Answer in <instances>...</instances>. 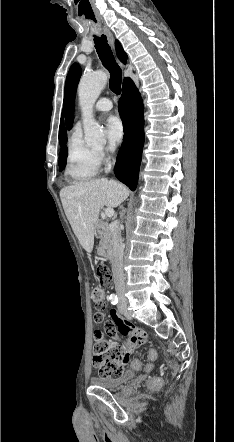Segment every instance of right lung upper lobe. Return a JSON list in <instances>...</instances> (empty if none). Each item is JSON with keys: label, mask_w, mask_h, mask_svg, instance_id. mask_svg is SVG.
<instances>
[{"label": "right lung upper lobe", "mask_w": 234, "mask_h": 442, "mask_svg": "<svg viewBox=\"0 0 234 442\" xmlns=\"http://www.w3.org/2000/svg\"><path fill=\"white\" fill-rule=\"evenodd\" d=\"M115 47H116V53L118 58L120 59V61L122 63H126L127 62V54L124 52L121 44L116 40L115 42ZM67 142V136H66V132H65V128H64V121L63 119H61V123H60V128H59V143L60 146H64Z\"/></svg>", "instance_id": "1"}]
</instances>
